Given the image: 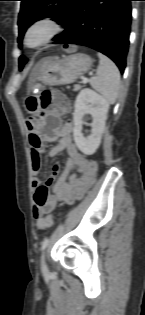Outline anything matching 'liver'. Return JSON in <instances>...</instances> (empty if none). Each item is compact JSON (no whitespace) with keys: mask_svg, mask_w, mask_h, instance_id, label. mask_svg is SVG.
Wrapping results in <instances>:
<instances>
[{"mask_svg":"<svg viewBox=\"0 0 145 315\" xmlns=\"http://www.w3.org/2000/svg\"><path fill=\"white\" fill-rule=\"evenodd\" d=\"M42 68V65L39 64L34 70H33V73L31 75V78H30V81H29V85H31L33 82H35L40 70Z\"/></svg>","mask_w":145,"mask_h":315,"instance_id":"liver-1","label":"liver"}]
</instances>
